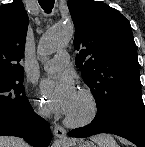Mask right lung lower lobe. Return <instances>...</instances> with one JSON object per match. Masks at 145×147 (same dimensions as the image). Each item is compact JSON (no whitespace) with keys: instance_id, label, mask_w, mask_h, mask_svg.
Segmentation results:
<instances>
[{"instance_id":"98d812e1","label":"right lung lower lobe","mask_w":145,"mask_h":147,"mask_svg":"<svg viewBox=\"0 0 145 147\" xmlns=\"http://www.w3.org/2000/svg\"><path fill=\"white\" fill-rule=\"evenodd\" d=\"M0 136L22 137L34 147H47L52 137L49 124L30 104L23 112L0 116Z\"/></svg>"}]
</instances>
